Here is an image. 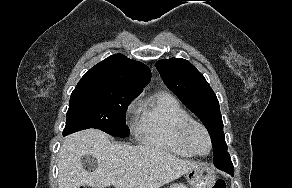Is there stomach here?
Here are the masks:
<instances>
[{
  "label": "stomach",
  "instance_id": "0dacf381",
  "mask_svg": "<svg viewBox=\"0 0 292 188\" xmlns=\"http://www.w3.org/2000/svg\"><path fill=\"white\" fill-rule=\"evenodd\" d=\"M187 186L176 183L170 188H213L216 181V171L210 165L200 164L186 173Z\"/></svg>",
  "mask_w": 292,
  "mask_h": 188
}]
</instances>
